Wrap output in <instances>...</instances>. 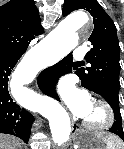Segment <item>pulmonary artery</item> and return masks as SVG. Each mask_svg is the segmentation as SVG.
Instances as JSON below:
<instances>
[{
	"mask_svg": "<svg viewBox=\"0 0 124 149\" xmlns=\"http://www.w3.org/2000/svg\"><path fill=\"white\" fill-rule=\"evenodd\" d=\"M85 56V48L80 45L73 51V57L77 60H82Z\"/></svg>",
	"mask_w": 124,
	"mask_h": 149,
	"instance_id": "e3ab8cb5",
	"label": "pulmonary artery"
}]
</instances>
